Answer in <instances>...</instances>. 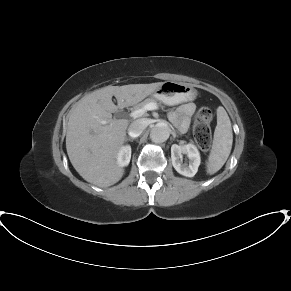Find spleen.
<instances>
[{
  "label": "spleen",
  "mask_w": 291,
  "mask_h": 291,
  "mask_svg": "<svg viewBox=\"0 0 291 291\" xmlns=\"http://www.w3.org/2000/svg\"><path fill=\"white\" fill-rule=\"evenodd\" d=\"M233 143L231 121L226 110L217 108V126L214 131L212 149L207 162V173L214 174L219 171L227 161Z\"/></svg>",
  "instance_id": "spleen-1"
}]
</instances>
